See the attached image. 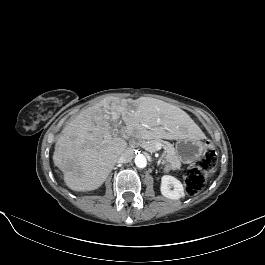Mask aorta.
Listing matches in <instances>:
<instances>
[{
	"label": "aorta",
	"mask_w": 265,
	"mask_h": 265,
	"mask_svg": "<svg viewBox=\"0 0 265 265\" xmlns=\"http://www.w3.org/2000/svg\"><path fill=\"white\" fill-rule=\"evenodd\" d=\"M135 165L138 168H145L147 165V158L143 154H137L134 158Z\"/></svg>",
	"instance_id": "1"
}]
</instances>
